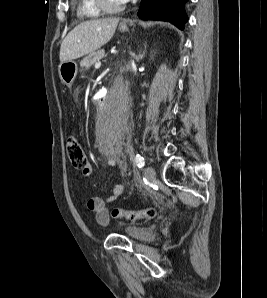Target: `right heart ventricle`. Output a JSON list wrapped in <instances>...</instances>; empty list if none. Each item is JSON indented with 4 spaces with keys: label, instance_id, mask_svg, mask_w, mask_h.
I'll return each instance as SVG.
<instances>
[{
    "label": "right heart ventricle",
    "instance_id": "obj_1",
    "mask_svg": "<svg viewBox=\"0 0 267 298\" xmlns=\"http://www.w3.org/2000/svg\"><path fill=\"white\" fill-rule=\"evenodd\" d=\"M77 15L82 19H97L102 16V12L97 7L95 0H79Z\"/></svg>",
    "mask_w": 267,
    "mask_h": 298
}]
</instances>
